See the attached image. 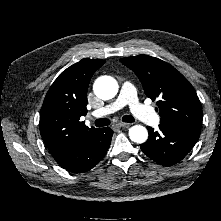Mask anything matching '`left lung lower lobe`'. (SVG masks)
<instances>
[{"label": "left lung lower lobe", "instance_id": "0a47b994", "mask_svg": "<svg viewBox=\"0 0 221 221\" xmlns=\"http://www.w3.org/2000/svg\"><path fill=\"white\" fill-rule=\"evenodd\" d=\"M147 129L149 138L140 147L149 158L164 166L181 161L200 136V129L191 127L160 124L158 131Z\"/></svg>", "mask_w": 221, "mask_h": 221}]
</instances>
